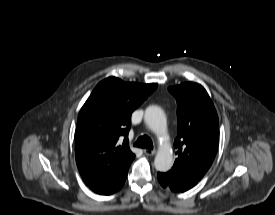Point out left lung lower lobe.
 <instances>
[{
    "label": "left lung lower lobe",
    "instance_id": "left-lung-lower-lobe-1",
    "mask_svg": "<svg viewBox=\"0 0 275 215\" xmlns=\"http://www.w3.org/2000/svg\"><path fill=\"white\" fill-rule=\"evenodd\" d=\"M157 178L163 188H168L173 192H185L198 183L171 170L166 173H158Z\"/></svg>",
    "mask_w": 275,
    "mask_h": 215
}]
</instances>
